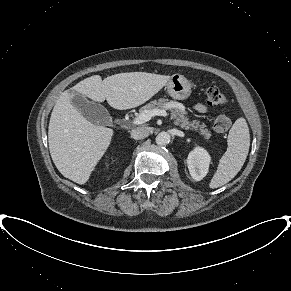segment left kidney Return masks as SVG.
<instances>
[{
    "label": "left kidney",
    "mask_w": 291,
    "mask_h": 291,
    "mask_svg": "<svg viewBox=\"0 0 291 291\" xmlns=\"http://www.w3.org/2000/svg\"><path fill=\"white\" fill-rule=\"evenodd\" d=\"M211 157L202 147H196L187 157L190 175L195 181H200L208 173Z\"/></svg>",
    "instance_id": "left-kidney-1"
}]
</instances>
